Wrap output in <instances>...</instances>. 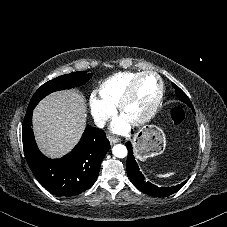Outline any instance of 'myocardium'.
<instances>
[{"label": "myocardium", "instance_id": "1", "mask_svg": "<svg viewBox=\"0 0 227 227\" xmlns=\"http://www.w3.org/2000/svg\"><path fill=\"white\" fill-rule=\"evenodd\" d=\"M145 76H153L157 82H158V91L157 94L153 100V102L151 103V105L148 107V109L146 110V112L139 116L136 117L134 119H132L130 122L132 125L134 126H142L144 124H146L147 122H149L152 117L155 115L156 111L158 110L162 99H163V95H164V84H163V80L160 77V75L155 72V71H142L139 72L130 82L128 88L126 89L125 93L123 94L122 98L120 99V101L117 104V108L118 111L120 113L121 116H124L125 110L127 108V106L132 102V100L135 97L136 94V90L137 87L139 85V82L141 81V79Z\"/></svg>", "mask_w": 227, "mask_h": 227}]
</instances>
